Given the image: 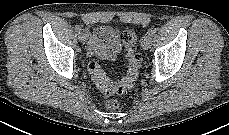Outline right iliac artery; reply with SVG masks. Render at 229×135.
<instances>
[{"mask_svg": "<svg viewBox=\"0 0 229 135\" xmlns=\"http://www.w3.org/2000/svg\"><path fill=\"white\" fill-rule=\"evenodd\" d=\"M75 29H76L77 32H80L82 30V27L77 25Z\"/></svg>", "mask_w": 229, "mask_h": 135, "instance_id": "obj_1", "label": "right iliac artery"}]
</instances>
